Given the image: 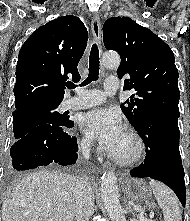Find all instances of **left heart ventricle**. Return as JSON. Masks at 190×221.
Segmentation results:
<instances>
[{
    "label": "left heart ventricle",
    "mask_w": 190,
    "mask_h": 221,
    "mask_svg": "<svg viewBox=\"0 0 190 221\" xmlns=\"http://www.w3.org/2000/svg\"><path fill=\"white\" fill-rule=\"evenodd\" d=\"M109 151L118 157L130 158L136 152V143L133 138L124 131Z\"/></svg>",
    "instance_id": "left-heart-ventricle-1"
}]
</instances>
